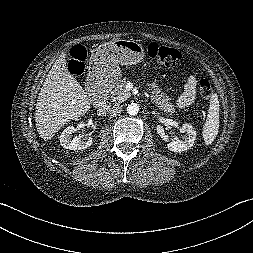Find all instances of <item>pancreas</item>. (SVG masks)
<instances>
[{"label": "pancreas", "instance_id": "1", "mask_svg": "<svg viewBox=\"0 0 253 253\" xmlns=\"http://www.w3.org/2000/svg\"><path fill=\"white\" fill-rule=\"evenodd\" d=\"M148 86L151 90V101L164 112L170 114L175 113V108L171 103V98L166 96L155 83L148 84ZM129 97H131V93L125 89V81L119 82L111 94L113 102L118 103L125 101Z\"/></svg>", "mask_w": 253, "mask_h": 253}]
</instances>
